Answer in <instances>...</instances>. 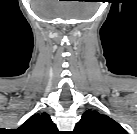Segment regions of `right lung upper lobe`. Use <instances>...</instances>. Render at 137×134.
<instances>
[{
  "label": "right lung upper lobe",
  "mask_w": 137,
  "mask_h": 134,
  "mask_svg": "<svg viewBox=\"0 0 137 134\" xmlns=\"http://www.w3.org/2000/svg\"><path fill=\"white\" fill-rule=\"evenodd\" d=\"M17 131L20 134H58L56 125L47 113L32 115Z\"/></svg>",
  "instance_id": "right-lung-upper-lobe-1"
}]
</instances>
